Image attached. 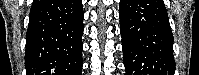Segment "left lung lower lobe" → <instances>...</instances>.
<instances>
[{
	"instance_id": "left-lung-lower-lobe-1",
	"label": "left lung lower lobe",
	"mask_w": 199,
	"mask_h": 75,
	"mask_svg": "<svg viewBox=\"0 0 199 75\" xmlns=\"http://www.w3.org/2000/svg\"><path fill=\"white\" fill-rule=\"evenodd\" d=\"M125 75H174L173 34L162 0H120Z\"/></svg>"
}]
</instances>
